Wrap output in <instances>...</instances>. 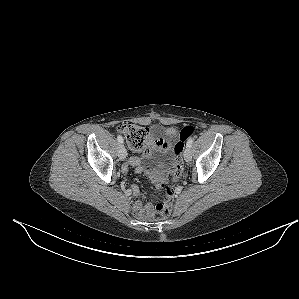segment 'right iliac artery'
Segmentation results:
<instances>
[{
    "instance_id": "82829eb1",
    "label": "right iliac artery",
    "mask_w": 299,
    "mask_h": 299,
    "mask_svg": "<svg viewBox=\"0 0 299 299\" xmlns=\"http://www.w3.org/2000/svg\"><path fill=\"white\" fill-rule=\"evenodd\" d=\"M117 140H118V142H119L120 144L123 143V137H122L121 135H118V136H117Z\"/></svg>"
}]
</instances>
